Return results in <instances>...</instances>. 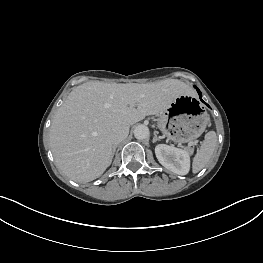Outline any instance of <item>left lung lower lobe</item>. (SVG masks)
I'll list each match as a JSON object with an SVG mask.
<instances>
[{
    "mask_svg": "<svg viewBox=\"0 0 263 263\" xmlns=\"http://www.w3.org/2000/svg\"><path fill=\"white\" fill-rule=\"evenodd\" d=\"M196 89H197V91H198V93H199V96H200V99H201V92H200V90L197 88V87H195ZM201 101L202 102H204L202 99H201ZM207 105V104H206ZM208 106V105H207Z\"/></svg>",
    "mask_w": 263,
    "mask_h": 263,
    "instance_id": "1",
    "label": "left lung lower lobe"
}]
</instances>
